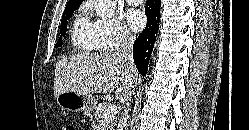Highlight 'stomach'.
<instances>
[{
    "instance_id": "obj_1",
    "label": "stomach",
    "mask_w": 249,
    "mask_h": 130,
    "mask_svg": "<svg viewBox=\"0 0 249 130\" xmlns=\"http://www.w3.org/2000/svg\"><path fill=\"white\" fill-rule=\"evenodd\" d=\"M58 105L68 112L92 111L96 107V99L92 94L63 92L58 95Z\"/></svg>"
}]
</instances>
